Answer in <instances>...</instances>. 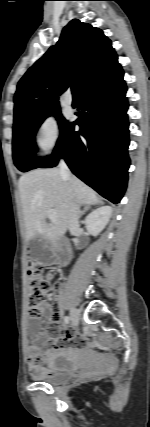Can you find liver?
<instances>
[{
  "mask_svg": "<svg viewBox=\"0 0 150 427\" xmlns=\"http://www.w3.org/2000/svg\"><path fill=\"white\" fill-rule=\"evenodd\" d=\"M19 192L26 228V239L41 236L51 242L59 240L69 226L68 216L73 204L93 205L99 201L97 193L78 178L71 181L60 174V169H37L22 175ZM55 210L57 218L47 226L45 218Z\"/></svg>",
  "mask_w": 150,
  "mask_h": 427,
  "instance_id": "liver-1",
  "label": "liver"
}]
</instances>
